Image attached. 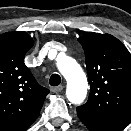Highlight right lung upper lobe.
Masks as SVG:
<instances>
[{
	"label": "right lung upper lobe",
	"instance_id": "obj_1",
	"mask_svg": "<svg viewBox=\"0 0 131 131\" xmlns=\"http://www.w3.org/2000/svg\"><path fill=\"white\" fill-rule=\"evenodd\" d=\"M33 44L25 32L0 35V131H25L39 116L49 93L24 64Z\"/></svg>",
	"mask_w": 131,
	"mask_h": 131
}]
</instances>
